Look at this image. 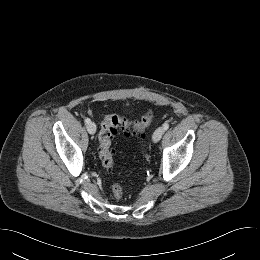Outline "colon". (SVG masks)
Masks as SVG:
<instances>
[{"instance_id": "obj_1", "label": "colon", "mask_w": 260, "mask_h": 260, "mask_svg": "<svg viewBox=\"0 0 260 260\" xmlns=\"http://www.w3.org/2000/svg\"><path fill=\"white\" fill-rule=\"evenodd\" d=\"M153 115L147 112L141 118L130 120L126 117L117 114L106 115L101 123L98 140V158L107 172L114 170L115 164L112 151V140L114 135L123 132L126 135H131L141 132L151 121ZM112 193L116 200L123 196V187L119 183L112 186Z\"/></svg>"}]
</instances>
